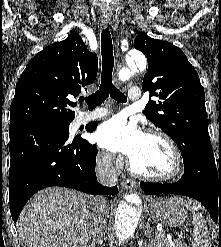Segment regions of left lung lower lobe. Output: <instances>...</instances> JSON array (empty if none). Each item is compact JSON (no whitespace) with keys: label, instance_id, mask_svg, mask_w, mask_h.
<instances>
[{"label":"left lung lower lobe","instance_id":"0a47b994","mask_svg":"<svg viewBox=\"0 0 221 247\" xmlns=\"http://www.w3.org/2000/svg\"><path fill=\"white\" fill-rule=\"evenodd\" d=\"M184 175L176 183L141 182L148 195L179 194L189 196L209 211L215 223H221V166L215 165L211 143L198 146L183 158Z\"/></svg>","mask_w":221,"mask_h":247}]
</instances>
